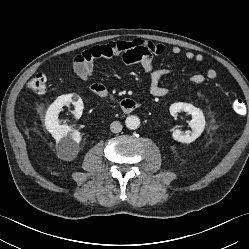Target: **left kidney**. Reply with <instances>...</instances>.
Masks as SVG:
<instances>
[{"mask_svg":"<svg viewBox=\"0 0 249 249\" xmlns=\"http://www.w3.org/2000/svg\"><path fill=\"white\" fill-rule=\"evenodd\" d=\"M170 114L176 116L179 112H186L192 116V120L189 122V126L192 131L183 133L180 130H174L172 137L174 140L181 143H191L195 141L204 131L205 118L203 112L189 103L177 102L170 106Z\"/></svg>","mask_w":249,"mask_h":249,"instance_id":"left-kidney-1","label":"left kidney"}]
</instances>
